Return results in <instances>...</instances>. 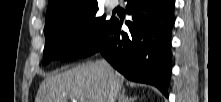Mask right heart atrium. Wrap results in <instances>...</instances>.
<instances>
[{
	"label": "right heart atrium",
	"mask_w": 221,
	"mask_h": 102,
	"mask_svg": "<svg viewBox=\"0 0 221 102\" xmlns=\"http://www.w3.org/2000/svg\"><path fill=\"white\" fill-rule=\"evenodd\" d=\"M87 27L84 23H77L71 30V39L75 43L81 42L86 35Z\"/></svg>",
	"instance_id": "obj_1"
}]
</instances>
